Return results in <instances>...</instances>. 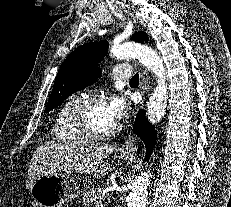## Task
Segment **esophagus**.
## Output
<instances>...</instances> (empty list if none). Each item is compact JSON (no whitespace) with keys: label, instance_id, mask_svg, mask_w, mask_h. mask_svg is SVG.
Instances as JSON below:
<instances>
[{"label":"esophagus","instance_id":"1","mask_svg":"<svg viewBox=\"0 0 231 207\" xmlns=\"http://www.w3.org/2000/svg\"><path fill=\"white\" fill-rule=\"evenodd\" d=\"M119 150L125 154H134L137 151L136 138L133 133H130L120 146Z\"/></svg>","mask_w":231,"mask_h":207}]
</instances>
